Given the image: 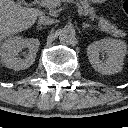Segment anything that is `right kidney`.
<instances>
[{"label": "right kidney", "instance_id": "obj_1", "mask_svg": "<svg viewBox=\"0 0 128 128\" xmlns=\"http://www.w3.org/2000/svg\"><path fill=\"white\" fill-rule=\"evenodd\" d=\"M39 46L38 39H24L22 36L9 37L0 46L1 62L14 70L27 69L35 61ZM25 48L28 49V52L24 54V58L19 57V52Z\"/></svg>", "mask_w": 128, "mask_h": 128}]
</instances>
